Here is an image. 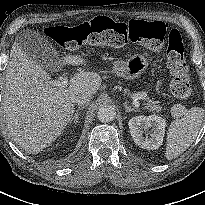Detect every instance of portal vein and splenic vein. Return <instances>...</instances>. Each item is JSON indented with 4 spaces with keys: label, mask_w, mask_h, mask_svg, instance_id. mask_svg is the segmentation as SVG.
<instances>
[{
    "label": "portal vein and splenic vein",
    "mask_w": 205,
    "mask_h": 205,
    "mask_svg": "<svg viewBox=\"0 0 205 205\" xmlns=\"http://www.w3.org/2000/svg\"><path fill=\"white\" fill-rule=\"evenodd\" d=\"M50 84L57 87H66L68 85V78L66 75H63L58 80L50 81ZM133 104L135 107L139 108L140 103L137 97H134Z\"/></svg>",
    "instance_id": "1"
}]
</instances>
